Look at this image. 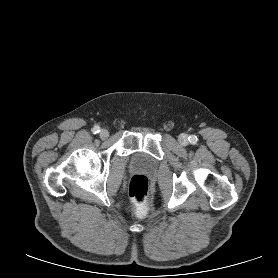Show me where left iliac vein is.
Masks as SVG:
<instances>
[{
	"label": "left iliac vein",
	"mask_w": 278,
	"mask_h": 278,
	"mask_svg": "<svg viewBox=\"0 0 278 278\" xmlns=\"http://www.w3.org/2000/svg\"><path fill=\"white\" fill-rule=\"evenodd\" d=\"M179 142L182 144V145H186L188 143L187 141V136L182 134L179 136Z\"/></svg>",
	"instance_id": "4c4485c4"
}]
</instances>
